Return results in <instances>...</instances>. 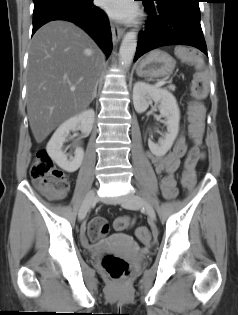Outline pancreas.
<instances>
[{"mask_svg":"<svg viewBox=\"0 0 238 315\" xmlns=\"http://www.w3.org/2000/svg\"><path fill=\"white\" fill-rule=\"evenodd\" d=\"M167 88H168L169 90H171V91H174V90H175V86H174V85H169Z\"/></svg>","mask_w":238,"mask_h":315,"instance_id":"pancreas-1","label":"pancreas"}]
</instances>
